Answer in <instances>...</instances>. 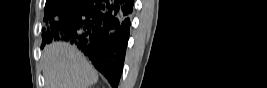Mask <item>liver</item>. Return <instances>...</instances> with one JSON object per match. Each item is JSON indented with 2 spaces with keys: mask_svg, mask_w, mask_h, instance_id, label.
Wrapping results in <instances>:
<instances>
[{
  "mask_svg": "<svg viewBox=\"0 0 267 88\" xmlns=\"http://www.w3.org/2000/svg\"><path fill=\"white\" fill-rule=\"evenodd\" d=\"M46 88H89L98 73L75 47L65 42L47 45L42 52Z\"/></svg>",
  "mask_w": 267,
  "mask_h": 88,
  "instance_id": "liver-1",
  "label": "liver"
}]
</instances>
